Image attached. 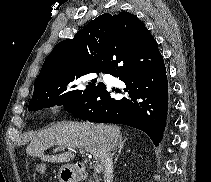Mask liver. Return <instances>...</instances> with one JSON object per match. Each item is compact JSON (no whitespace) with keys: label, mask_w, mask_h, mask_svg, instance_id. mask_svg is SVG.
<instances>
[{"label":"liver","mask_w":211,"mask_h":182,"mask_svg":"<svg viewBox=\"0 0 211 182\" xmlns=\"http://www.w3.org/2000/svg\"><path fill=\"white\" fill-rule=\"evenodd\" d=\"M122 140L120 128L114 125L63 121L39 132L26 148V153L52 163H66L74 159L73 153L46 156L45 150L57 145L59 149H85L94 159L105 164L107 154Z\"/></svg>","instance_id":"6515ba94"}]
</instances>
